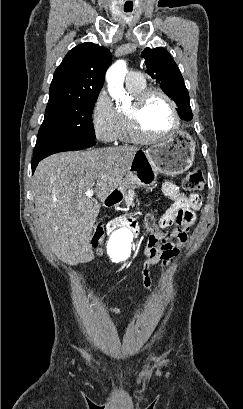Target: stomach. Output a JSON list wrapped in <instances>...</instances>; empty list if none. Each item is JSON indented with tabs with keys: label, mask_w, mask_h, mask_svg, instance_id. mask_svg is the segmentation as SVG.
<instances>
[{
	"label": "stomach",
	"mask_w": 243,
	"mask_h": 409,
	"mask_svg": "<svg viewBox=\"0 0 243 409\" xmlns=\"http://www.w3.org/2000/svg\"><path fill=\"white\" fill-rule=\"evenodd\" d=\"M195 155V142L183 131L172 134L162 143L136 153L130 170L119 190L124 195L132 185L149 186L158 173L176 176L187 171Z\"/></svg>",
	"instance_id": "1"
}]
</instances>
